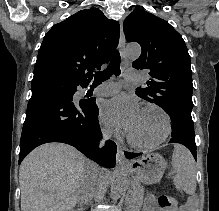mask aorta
Segmentation results:
<instances>
[{
    "mask_svg": "<svg viewBox=\"0 0 219 211\" xmlns=\"http://www.w3.org/2000/svg\"><path fill=\"white\" fill-rule=\"evenodd\" d=\"M141 53V48L137 44L128 45L126 47V54L130 58H138ZM128 188V179L125 174H118L113 179L110 188V197L112 200H118Z\"/></svg>",
    "mask_w": 219,
    "mask_h": 211,
    "instance_id": "obj_1",
    "label": "aorta"
}]
</instances>
